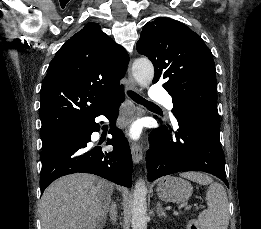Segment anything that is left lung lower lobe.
<instances>
[{
  "instance_id": "obj_1",
  "label": "left lung lower lobe",
  "mask_w": 261,
  "mask_h": 229,
  "mask_svg": "<svg viewBox=\"0 0 261 229\" xmlns=\"http://www.w3.org/2000/svg\"><path fill=\"white\" fill-rule=\"evenodd\" d=\"M177 130L162 125L150 134L146 165L150 182L181 171H204L226 177L219 116L198 108L183 110ZM226 185L227 180L224 179Z\"/></svg>"
}]
</instances>
